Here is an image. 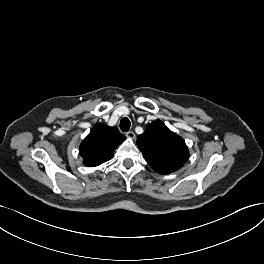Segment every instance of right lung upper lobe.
Segmentation results:
<instances>
[{
	"label": "right lung upper lobe",
	"mask_w": 264,
	"mask_h": 264,
	"mask_svg": "<svg viewBox=\"0 0 264 264\" xmlns=\"http://www.w3.org/2000/svg\"><path fill=\"white\" fill-rule=\"evenodd\" d=\"M125 140L117 128L98 123L80 145V155L86 166H98L114 156L116 147Z\"/></svg>",
	"instance_id": "obj_1"
}]
</instances>
